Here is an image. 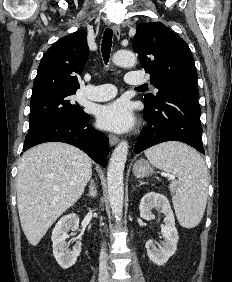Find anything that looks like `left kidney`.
<instances>
[{"instance_id":"obj_1","label":"left kidney","mask_w":232,"mask_h":282,"mask_svg":"<svg viewBox=\"0 0 232 282\" xmlns=\"http://www.w3.org/2000/svg\"><path fill=\"white\" fill-rule=\"evenodd\" d=\"M161 209L165 214V225L161 228V234L164 237L162 246H155L153 240H148L145 244L149 259L156 265H164L168 259L175 253L178 243V232L175 227V218L168 199L156 192L145 194L140 202V216L145 220L153 218L152 209Z\"/></svg>"}]
</instances>
